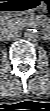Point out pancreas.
I'll return each instance as SVG.
<instances>
[{
  "label": "pancreas",
  "instance_id": "pancreas-1",
  "mask_svg": "<svg viewBox=\"0 0 50 111\" xmlns=\"http://www.w3.org/2000/svg\"><path fill=\"white\" fill-rule=\"evenodd\" d=\"M24 25H25L24 20H22L20 22H17L16 18L10 19V20H7V21L3 22V26L8 27V28L9 27H18V28H20V27H23Z\"/></svg>",
  "mask_w": 50,
  "mask_h": 111
}]
</instances>
